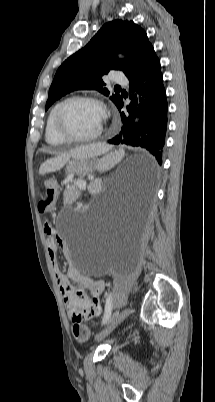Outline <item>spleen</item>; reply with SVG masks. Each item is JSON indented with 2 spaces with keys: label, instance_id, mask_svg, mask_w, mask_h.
Wrapping results in <instances>:
<instances>
[{
  "label": "spleen",
  "instance_id": "obj_1",
  "mask_svg": "<svg viewBox=\"0 0 215 402\" xmlns=\"http://www.w3.org/2000/svg\"><path fill=\"white\" fill-rule=\"evenodd\" d=\"M110 148H111L110 146H108L104 143L103 144H101V143L92 144V145H88V146H81L79 148L72 150L69 154H63L61 157L47 160L45 163L42 164L40 172L42 174H44L46 172H51V171H54V170L60 168L66 162L69 161L71 156L74 158H84V157L107 152ZM123 154H124L123 151H119L118 153H116V155L119 157H122ZM113 159H114L113 153L106 155L104 158H102L98 161L96 168L98 170L108 169L111 166Z\"/></svg>",
  "mask_w": 215,
  "mask_h": 402
}]
</instances>
